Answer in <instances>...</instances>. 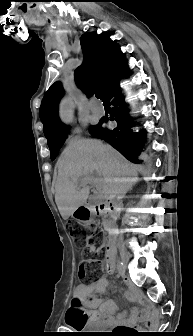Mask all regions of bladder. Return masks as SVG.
Masks as SVG:
<instances>
[{
	"mask_svg": "<svg viewBox=\"0 0 193 336\" xmlns=\"http://www.w3.org/2000/svg\"><path fill=\"white\" fill-rule=\"evenodd\" d=\"M83 328L86 330H95V329H103L104 327L99 322H89V323H85L83 325Z\"/></svg>",
	"mask_w": 193,
	"mask_h": 336,
	"instance_id": "31cf9c89",
	"label": "bladder"
}]
</instances>
